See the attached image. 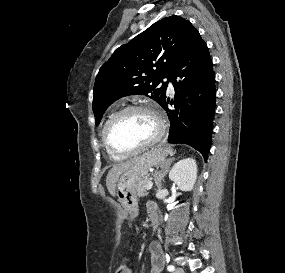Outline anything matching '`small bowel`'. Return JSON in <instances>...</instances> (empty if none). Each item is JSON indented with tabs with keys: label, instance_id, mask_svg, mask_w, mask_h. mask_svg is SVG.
<instances>
[{
	"label": "small bowel",
	"instance_id": "obj_1",
	"mask_svg": "<svg viewBox=\"0 0 285 273\" xmlns=\"http://www.w3.org/2000/svg\"><path fill=\"white\" fill-rule=\"evenodd\" d=\"M152 209H156L155 205L153 203H148L147 213L149 214ZM149 252L151 258L150 273H161L164 259L160 245L158 243H152ZM125 268L127 269L126 273H133L129 267L125 266Z\"/></svg>",
	"mask_w": 285,
	"mask_h": 273
}]
</instances>
